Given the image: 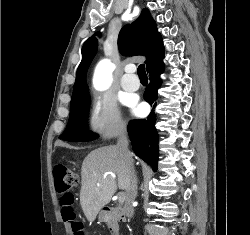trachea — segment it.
<instances>
[{
    "label": "trachea",
    "mask_w": 250,
    "mask_h": 235,
    "mask_svg": "<svg viewBox=\"0 0 250 235\" xmlns=\"http://www.w3.org/2000/svg\"><path fill=\"white\" fill-rule=\"evenodd\" d=\"M137 73H138V76L140 78H147V74H146V71H145V65L144 64H140L138 66Z\"/></svg>",
    "instance_id": "obj_1"
}]
</instances>
